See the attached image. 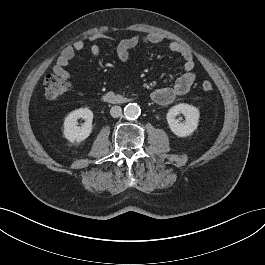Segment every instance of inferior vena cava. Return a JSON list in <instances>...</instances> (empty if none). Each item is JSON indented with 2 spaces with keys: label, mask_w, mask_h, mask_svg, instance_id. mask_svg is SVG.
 <instances>
[{
  "label": "inferior vena cava",
  "mask_w": 265,
  "mask_h": 265,
  "mask_svg": "<svg viewBox=\"0 0 265 265\" xmlns=\"http://www.w3.org/2000/svg\"><path fill=\"white\" fill-rule=\"evenodd\" d=\"M110 114L114 118H118L122 115V109L120 106H113L110 109Z\"/></svg>",
  "instance_id": "602c4592"
}]
</instances>
